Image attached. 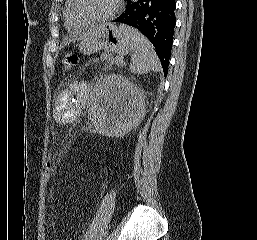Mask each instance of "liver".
<instances>
[{"mask_svg":"<svg viewBox=\"0 0 257 240\" xmlns=\"http://www.w3.org/2000/svg\"><path fill=\"white\" fill-rule=\"evenodd\" d=\"M100 26H101V25L94 27L93 29H91L90 31H88V33L83 34V35H81L80 37L67 39V40L64 42V45H67L68 43L73 42V41H75V40H83L89 33H91L94 29H96V28H98V27H100Z\"/></svg>","mask_w":257,"mask_h":240,"instance_id":"1","label":"liver"}]
</instances>
